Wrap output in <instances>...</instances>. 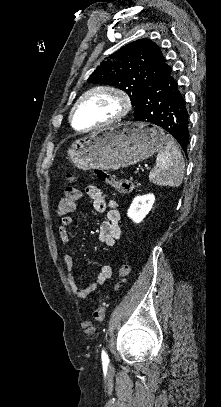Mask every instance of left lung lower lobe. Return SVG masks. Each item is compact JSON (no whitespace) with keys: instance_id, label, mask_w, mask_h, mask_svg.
Wrapping results in <instances>:
<instances>
[{"instance_id":"0a47b994","label":"left lung lower lobe","mask_w":221,"mask_h":407,"mask_svg":"<svg viewBox=\"0 0 221 407\" xmlns=\"http://www.w3.org/2000/svg\"><path fill=\"white\" fill-rule=\"evenodd\" d=\"M134 121L160 126L170 133L186 152L189 141V114L185 95L169 67L140 92Z\"/></svg>"}]
</instances>
